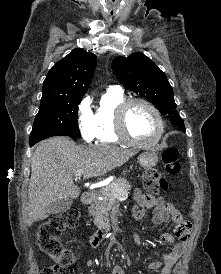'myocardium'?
<instances>
[{"mask_svg":"<svg viewBox=\"0 0 221 274\" xmlns=\"http://www.w3.org/2000/svg\"><path fill=\"white\" fill-rule=\"evenodd\" d=\"M134 104L145 105L154 114L156 118V121L158 124V130L155 137L149 142H141L134 139L127 130V124H126L127 114L129 109ZM115 127H116V132L119 138L123 142L139 148H150L155 146L160 141L164 133V121L158 108L149 100L144 98H139V97L126 99L124 102H122L118 106L116 111V116H115Z\"/></svg>","mask_w":221,"mask_h":274,"instance_id":"f54148a6","label":"myocardium"}]
</instances>
